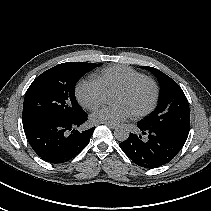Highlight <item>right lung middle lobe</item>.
Wrapping results in <instances>:
<instances>
[{
  "label": "right lung middle lobe",
  "mask_w": 211,
  "mask_h": 211,
  "mask_svg": "<svg viewBox=\"0 0 211 211\" xmlns=\"http://www.w3.org/2000/svg\"><path fill=\"white\" fill-rule=\"evenodd\" d=\"M101 64L67 62L39 75L29 86L23 103V125L43 121H66L85 111L75 98V85L83 74Z\"/></svg>",
  "instance_id": "obj_1"
}]
</instances>
